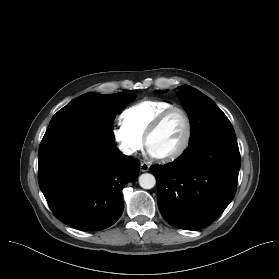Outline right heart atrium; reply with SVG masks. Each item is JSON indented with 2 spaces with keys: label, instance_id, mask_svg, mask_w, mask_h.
<instances>
[{
  "label": "right heart atrium",
  "instance_id": "obj_1",
  "mask_svg": "<svg viewBox=\"0 0 279 279\" xmlns=\"http://www.w3.org/2000/svg\"><path fill=\"white\" fill-rule=\"evenodd\" d=\"M112 136L117 143L119 150L127 156L136 154L144 146L143 138L137 135L121 121L116 122L114 125Z\"/></svg>",
  "mask_w": 279,
  "mask_h": 279
}]
</instances>
